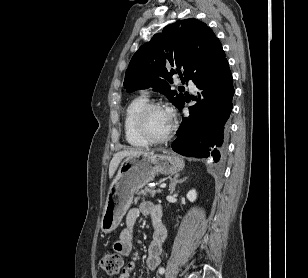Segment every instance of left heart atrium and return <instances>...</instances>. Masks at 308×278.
I'll use <instances>...</instances> for the list:
<instances>
[{"mask_svg":"<svg viewBox=\"0 0 308 278\" xmlns=\"http://www.w3.org/2000/svg\"><path fill=\"white\" fill-rule=\"evenodd\" d=\"M165 112L167 114V117H168L169 121L172 122L173 114H172L171 110L170 109H166Z\"/></svg>","mask_w":308,"mask_h":278,"instance_id":"1","label":"left heart atrium"}]
</instances>
